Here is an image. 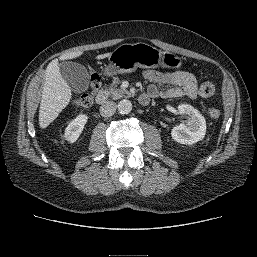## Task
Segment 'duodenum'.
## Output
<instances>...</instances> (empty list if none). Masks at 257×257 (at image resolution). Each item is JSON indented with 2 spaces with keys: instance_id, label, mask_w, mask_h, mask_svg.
Wrapping results in <instances>:
<instances>
[{
  "instance_id": "obj_1",
  "label": "duodenum",
  "mask_w": 257,
  "mask_h": 257,
  "mask_svg": "<svg viewBox=\"0 0 257 257\" xmlns=\"http://www.w3.org/2000/svg\"><path fill=\"white\" fill-rule=\"evenodd\" d=\"M96 103L99 105H102L106 102L107 100V92L106 91H101L96 95ZM139 102L142 105H146L149 102V98L146 95L141 94L139 96Z\"/></svg>"
}]
</instances>
